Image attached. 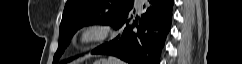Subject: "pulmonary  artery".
<instances>
[{
  "label": "pulmonary artery",
  "instance_id": "obj_1",
  "mask_svg": "<svg viewBox=\"0 0 242 64\" xmlns=\"http://www.w3.org/2000/svg\"><path fill=\"white\" fill-rule=\"evenodd\" d=\"M135 4H136V7L140 9L141 8V4H142V0H136Z\"/></svg>",
  "mask_w": 242,
  "mask_h": 64
}]
</instances>
